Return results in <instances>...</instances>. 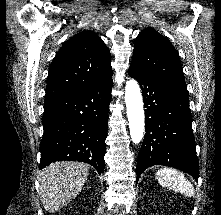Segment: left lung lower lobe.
<instances>
[{"mask_svg": "<svg viewBox=\"0 0 221 215\" xmlns=\"http://www.w3.org/2000/svg\"><path fill=\"white\" fill-rule=\"evenodd\" d=\"M142 89L146 134L137 160V179L153 165L180 169L198 179L199 165L187 92L164 85L129 68Z\"/></svg>", "mask_w": 221, "mask_h": 215, "instance_id": "1", "label": "left lung lower lobe"}]
</instances>
